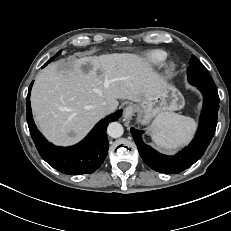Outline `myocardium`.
I'll list each match as a JSON object with an SVG mask.
<instances>
[{
  "instance_id": "obj_1",
  "label": "myocardium",
  "mask_w": 231,
  "mask_h": 231,
  "mask_svg": "<svg viewBox=\"0 0 231 231\" xmlns=\"http://www.w3.org/2000/svg\"><path fill=\"white\" fill-rule=\"evenodd\" d=\"M176 71V64L173 61H168L163 66V73L166 77H171Z\"/></svg>"
}]
</instances>
